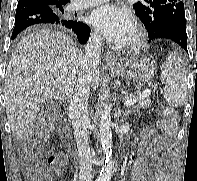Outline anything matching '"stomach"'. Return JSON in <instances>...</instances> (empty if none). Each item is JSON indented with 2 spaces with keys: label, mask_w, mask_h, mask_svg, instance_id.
Segmentation results:
<instances>
[{
  "label": "stomach",
  "mask_w": 197,
  "mask_h": 181,
  "mask_svg": "<svg viewBox=\"0 0 197 181\" xmlns=\"http://www.w3.org/2000/svg\"><path fill=\"white\" fill-rule=\"evenodd\" d=\"M156 63L150 58H132L122 66L112 69L111 72L117 77L132 80L137 86L150 82L156 73Z\"/></svg>",
  "instance_id": "obj_1"
}]
</instances>
